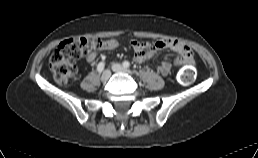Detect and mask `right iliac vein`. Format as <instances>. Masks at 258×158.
<instances>
[{"mask_svg":"<svg viewBox=\"0 0 258 158\" xmlns=\"http://www.w3.org/2000/svg\"><path fill=\"white\" fill-rule=\"evenodd\" d=\"M110 76H111V72H110V70H105L104 72H103V74H102V76H101V80L103 81V82H106L109 78H110Z\"/></svg>","mask_w":258,"mask_h":158,"instance_id":"obj_1","label":"right iliac vein"}]
</instances>
